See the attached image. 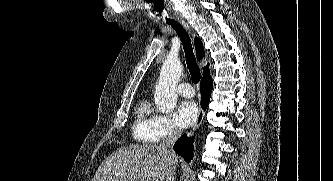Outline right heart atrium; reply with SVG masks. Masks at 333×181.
I'll list each match as a JSON object with an SVG mask.
<instances>
[{"label":"right heart atrium","instance_id":"1","mask_svg":"<svg viewBox=\"0 0 333 181\" xmlns=\"http://www.w3.org/2000/svg\"><path fill=\"white\" fill-rule=\"evenodd\" d=\"M154 132L157 140L173 138L180 134V128L167 115H159L156 119Z\"/></svg>","mask_w":333,"mask_h":181}]
</instances>
